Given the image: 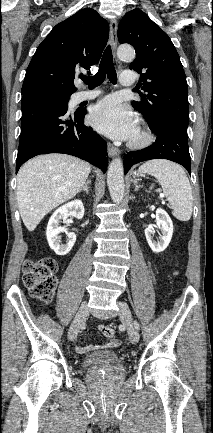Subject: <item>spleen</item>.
<instances>
[{"label":"spleen","instance_id":"spleen-1","mask_svg":"<svg viewBox=\"0 0 213 433\" xmlns=\"http://www.w3.org/2000/svg\"><path fill=\"white\" fill-rule=\"evenodd\" d=\"M140 173L154 176L162 186L173 215L180 221H188L193 210V196L184 169L168 160H151L139 167Z\"/></svg>","mask_w":213,"mask_h":433}]
</instances>
